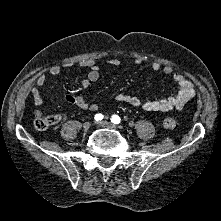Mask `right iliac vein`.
Wrapping results in <instances>:
<instances>
[{"label":"right iliac vein","instance_id":"1","mask_svg":"<svg viewBox=\"0 0 221 221\" xmlns=\"http://www.w3.org/2000/svg\"><path fill=\"white\" fill-rule=\"evenodd\" d=\"M91 127V123L89 122H85L84 125H83V130L84 131H88Z\"/></svg>","mask_w":221,"mask_h":221}]
</instances>
